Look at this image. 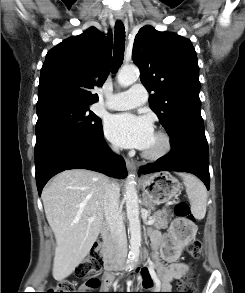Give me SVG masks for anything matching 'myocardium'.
Returning <instances> with one entry per match:
<instances>
[{"label": "myocardium", "instance_id": "1", "mask_svg": "<svg viewBox=\"0 0 245 293\" xmlns=\"http://www.w3.org/2000/svg\"><path fill=\"white\" fill-rule=\"evenodd\" d=\"M162 141V147L156 152L143 151L142 156L146 159L157 160L166 156L172 149V138L165 130H158L155 133Z\"/></svg>", "mask_w": 245, "mask_h": 293}]
</instances>
